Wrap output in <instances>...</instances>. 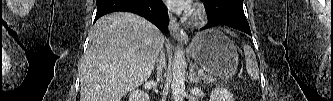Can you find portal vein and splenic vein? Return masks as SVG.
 <instances>
[{
    "mask_svg": "<svg viewBox=\"0 0 333 101\" xmlns=\"http://www.w3.org/2000/svg\"><path fill=\"white\" fill-rule=\"evenodd\" d=\"M203 74V71L201 70V72L199 73V76H201Z\"/></svg>",
    "mask_w": 333,
    "mask_h": 101,
    "instance_id": "obj_1",
    "label": "portal vein and splenic vein"
}]
</instances>
